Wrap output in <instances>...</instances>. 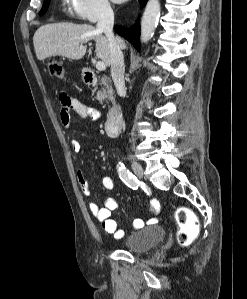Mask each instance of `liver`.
<instances>
[{
  "label": "liver",
  "mask_w": 247,
  "mask_h": 299,
  "mask_svg": "<svg viewBox=\"0 0 247 299\" xmlns=\"http://www.w3.org/2000/svg\"><path fill=\"white\" fill-rule=\"evenodd\" d=\"M96 43V57L106 66L111 64L108 38L90 24H73L68 22L47 24L39 27L34 34L33 44L38 60L62 56L72 60L81 59L86 53L87 42ZM122 49L126 47L123 40L117 38Z\"/></svg>",
  "instance_id": "obj_1"
}]
</instances>
